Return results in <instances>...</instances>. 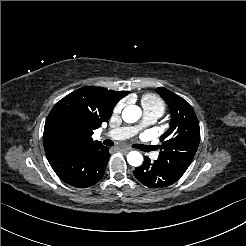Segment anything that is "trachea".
<instances>
[{
    "mask_svg": "<svg viewBox=\"0 0 246 246\" xmlns=\"http://www.w3.org/2000/svg\"><path fill=\"white\" fill-rule=\"evenodd\" d=\"M104 144H105L106 146H113V145H114V143H113L111 140H109V139L105 140V141H104ZM141 149H142L143 151L152 150V148L149 147V146H143Z\"/></svg>",
    "mask_w": 246,
    "mask_h": 246,
    "instance_id": "obj_1",
    "label": "trachea"
}]
</instances>
